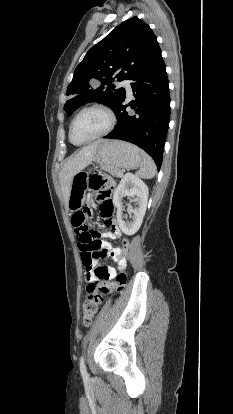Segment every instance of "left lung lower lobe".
Returning a JSON list of instances; mask_svg holds the SVG:
<instances>
[{"instance_id":"1","label":"left lung lower lobe","mask_w":233,"mask_h":414,"mask_svg":"<svg viewBox=\"0 0 233 414\" xmlns=\"http://www.w3.org/2000/svg\"><path fill=\"white\" fill-rule=\"evenodd\" d=\"M131 87L135 100L124 105V96L114 111L118 124L104 138L133 143L145 150L160 166L170 121L169 82L161 50L132 79ZM127 106L135 111V115H128Z\"/></svg>"}]
</instances>
